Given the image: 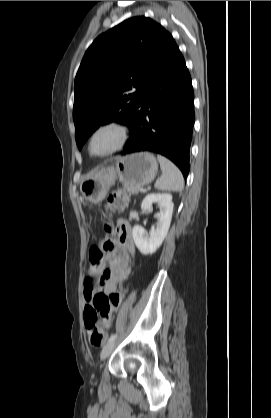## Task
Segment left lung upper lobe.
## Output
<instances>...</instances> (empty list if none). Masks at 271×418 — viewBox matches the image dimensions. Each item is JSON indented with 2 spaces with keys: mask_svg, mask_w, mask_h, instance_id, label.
<instances>
[{
  "mask_svg": "<svg viewBox=\"0 0 271 418\" xmlns=\"http://www.w3.org/2000/svg\"><path fill=\"white\" fill-rule=\"evenodd\" d=\"M172 41L168 31L144 16L125 20L96 38L74 84L73 119L79 149L100 125L128 124Z\"/></svg>",
  "mask_w": 271,
  "mask_h": 418,
  "instance_id": "1",
  "label": "left lung upper lobe"
}]
</instances>
